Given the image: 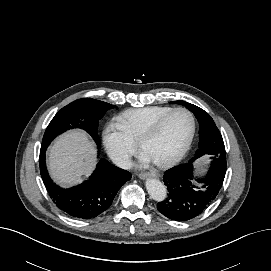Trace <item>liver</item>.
<instances>
[{
	"mask_svg": "<svg viewBox=\"0 0 271 271\" xmlns=\"http://www.w3.org/2000/svg\"><path fill=\"white\" fill-rule=\"evenodd\" d=\"M97 163L96 148L89 136L73 130L59 137L50 149L49 170L53 179L71 186L88 177Z\"/></svg>",
	"mask_w": 271,
	"mask_h": 271,
	"instance_id": "obj_1",
	"label": "liver"
}]
</instances>
